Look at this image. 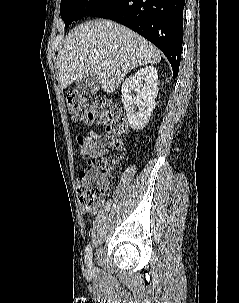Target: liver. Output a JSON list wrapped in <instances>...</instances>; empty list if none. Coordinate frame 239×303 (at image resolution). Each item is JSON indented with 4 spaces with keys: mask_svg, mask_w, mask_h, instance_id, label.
Masks as SVG:
<instances>
[{
    "mask_svg": "<svg viewBox=\"0 0 239 303\" xmlns=\"http://www.w3.org/2000/svg\"><path fill=\"white\" fill-rule=\"evenodd\" d=\"M161 61L160 51L142 36L110 20L75 27L56 58L62 88L95 74L100 86L113 93L132 69Z\"/></svg>",
    "mask_w": 239,
    "mask_h": 303,
    "instance_id": "obj_1",
    "label": "liver"
}]
</instances>
